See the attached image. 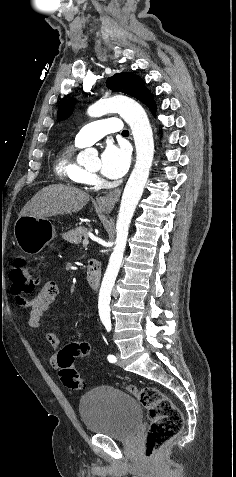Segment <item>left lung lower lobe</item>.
Wrapping results in <instances>:
<instances>
[{
    "label": "left lung lower lobe",
    "mask_w": 236,
    "mask_h": 477,
    "mask_svg": "<svg viewBox=\"0 0 236 477\" xmlns=\"http://www.w3.org/2000/svg\"><path fill=\"white\" fill-rule=\"evenodd\" d=\"M148 107L151 110L152 114H154L156 110V104L153 100L149 103Z\"/></svg>",
    "instance_id": "left-lung-lower-lobe-1"
}]
</instances>
